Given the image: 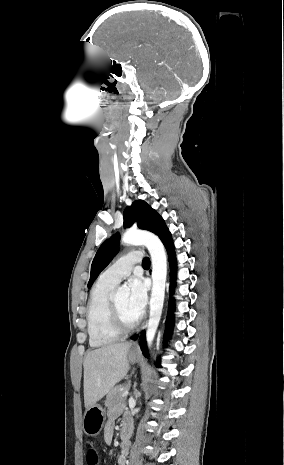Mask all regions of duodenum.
<instances>
[{"instance_id":"1","label":"duodenum","mask_w":284,"mask_h":465,"mask_svg":"<svg viewBox=\"0 0 284 465\" xmlns=\"http://www.w3.org/2000/svg\"><path fill=\"white\" fill-rule=\"evenodd\" d=\"M127 437H128L127 433L123 432L122 433V439H127Z\"/></svg>"}]
</instances>
